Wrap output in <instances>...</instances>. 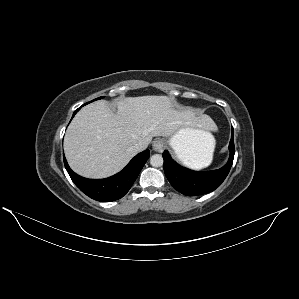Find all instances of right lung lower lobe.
<instances>
[{
	"instance_id": "right-lung-lower-lobe-1",
	"label": "right lung lower lobe",
	"mask_w": 299,
	"mask_h": 299,
	"mask_svg": "<svg viewBox=\"0 0 299 299\" xmlns=\"http://www.w3.org/2000/svg\"><path fill=\"white\" fill-rule=\"evenodd\" d=\"M149 156V150L139 153L121 172L105 179H87L77 175L70 169L65 157L64 165L72 181L83 193L94 200L108 202L122 198L129 191Z\"/></svg>"
}]
</instances>
